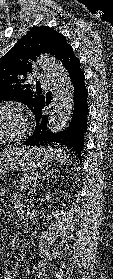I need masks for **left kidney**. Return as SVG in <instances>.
<instances>
[{"mask_svg":"<svg viewBox=\"0 0 113 279\" xmlns=\"http://www.w3.org/2000/svg\"><path fill=\"white\" fill-rule=\"evenodd\" d=\"M51 198H52V195L50 194V192H48V193L46 194V199H47V201L50 202Z\"/></svg>","mask_w":113,"mask_h":279,"instance_id":"1","label":"left kidney"}]
</instances>
